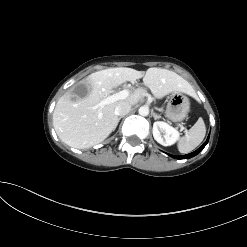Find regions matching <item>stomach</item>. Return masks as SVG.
Masks as SVG:
<instances>
[{
  "mask_svg": "<svg viewBox=\"0 0 247 247\" xmlns=\"http://www.w3.org/2000/svg\"><path fill=\"white\" fill-rule=\"evenodd\" d=\"M190 109L189 98L181 93H173L167 103L166 117L174 122L184 120Z\"/></svg>",
  "mask_w": 247,
  "mask_h": 247,
  "instance_id": "obj_1",
  "label": "stomach"
}]
</instances>
